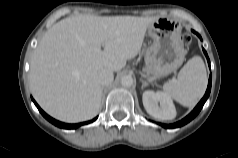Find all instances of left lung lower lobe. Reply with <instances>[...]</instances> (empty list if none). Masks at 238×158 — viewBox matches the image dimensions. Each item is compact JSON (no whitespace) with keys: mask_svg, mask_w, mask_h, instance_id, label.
I'll use <instances>...</instances> for the list:
<instances>
[{"mask_svg":"<svg viewBox=\"0 0 238 158\" xmlns=\"http://www.w3.org/2000/svg\"><path fill=\"white\" fill-rule=\"evenodd\" d=\"M197 36L201 39L200 35L197 33ZM203 52L208 60V64L210 66V60L208 58V55L206 53V51L203 49ZM211 83H212V75L210 74L209 77V82H208V87L206 90V93L204 95V97L201 99V101L198 103V105L194 108V110L188 115L186 116L184 119H182L181 121L174 123V124H160L162 127L164 128H176V127H181L185 124H187L188 122H190L193 118H195L197 116V114L200 112V110L202 109L204 103L206 102L207 98L210 95V91H211Z\"/></svg>","mask_w":238,"mask_h":158,"instance_id":"0a47b994","label":"left lung lower lobe"}]
</instances>
